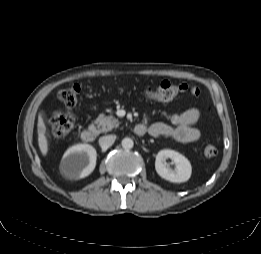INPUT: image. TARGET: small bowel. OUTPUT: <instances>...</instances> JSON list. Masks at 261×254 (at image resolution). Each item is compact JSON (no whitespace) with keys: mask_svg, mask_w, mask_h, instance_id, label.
<instances>
[{"mask_svg":"<svg viewBox=\"0 0 261 254\" xmlns=\"http://www.w3.org/2000/svg\"><path fill=\"white\" fill-rule=\"evenodd\" d=\"M199 119V110L190 108L182 113L169 115L167 123L158 122L149 125L145 119L139 126L142 127V134L148 133L153 137L166 136L182 143H191L201 138L200 130L193 126Z\"/></svg>","mask_w":261,"mask_h":254,"instance_id":"obj_1","label":"small bowel"}]
</instances>
